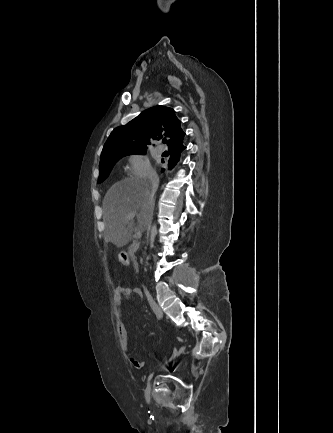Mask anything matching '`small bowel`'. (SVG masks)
Returning <instances> with one entry per match:
<instances>
[{"mask_svg":"<svg viewBox=\"0 0 333 433\" xmlns=\"http://www.w3.org/2000/svg\"><path fill=\"white\" fill-rule=\"evenodd\" d=\"M137 298L142 299L143 294L140 288L134 287H123L119 286L115 289V301L118 305H121L126 298ZM117 329L119 334V342L123 351L127 354L129 361L135 366L140 367L141 362L136 358V356L129 349V337L126 329L124 314L122 311L118 313V323Z\"/></svg>","mask_w":333,"mask_h":433,"instance_id":"obj_1","label":"small bowel"}]
</instances>
